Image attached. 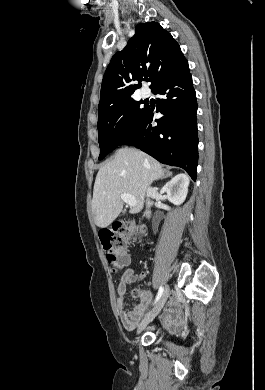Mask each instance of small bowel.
<instances>
[{
    "label": "small bowel",
    "mask_w": 265,
    "mask_h": 390,
    "mask_svg": "<svg viewBox=\"0 0 265 390\" xmlns=\"http://www.w3.org/2000/svg\"><path fill=\"white\" fill-rule=\"evenodd\" d=\"M129 263H130V258L126 257L125 266H127ZM132 277H134L133 270L131 269L126 270L117 287V293H118L117 307H118L119 318L124 328L128 331H131L135 328L136 324L138 323V321L144 314L146 308L148 307L150 301L152 300L151 292L149 290H144L141 293L137 305L131 310L127 311L125 309L124 296L127 289V282ZM163 321L169 326L181 325L184 323V312L178 306L175 299H172L170 301L168 310L163 315Z\"/></svg>",
    "instance_id": "obj_1"
}]
</instances>
